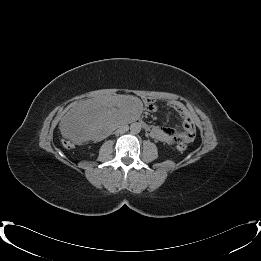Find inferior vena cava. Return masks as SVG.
Wrapping results in <instances>:
<instances>
[{
	"label": "inferior vena cava",
	"mask_w": 261,
	"mask_h": 261,
	"mask_svg": "<svg viewBox=\"0 0 261 261\" xmlns=\"http://www.w3.org/2000/svg\"><path fill=\"white\" fill-rule=\"evenodd\" d=\"M129 130V126L127 124H122L119 126L118 132L119 133H125Z\"/></svg>",
	"instance_id": "1"
}]
</instances>
